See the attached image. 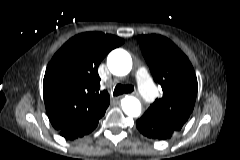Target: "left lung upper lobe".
<instances>
[{"instance_id":"left-lung-upper-lobe-1","label":"left lung upper lobe","mask_w":240,"mask_h":160,"mask_svg":"<svg viewBox=\"0 0 240 160\" xmlns=\"http://www.w3.org/2000/svg\"><path fill=\"white\" fill-rule=\"evenodd\" d=\"M143 56L163 96L149 109L169 127L179 131L194 109L198 83L187 56L161 35L138 37Z\"/></svg>"}]
</instances>
